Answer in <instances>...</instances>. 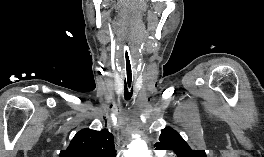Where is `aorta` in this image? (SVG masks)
<instances>
[{
  "label": "aorta",
  "instance_id": "1",
  "mask_svg": "<svg viewBox=\"0 0 264 157\" xmlns=\"http://www.w3.org/2000/svg\"><path fill=\"white\" fill-rule=\"evenodd\" d=\"M125 155V157H151L146 143L141 139L134 140Z\"/></svg>",
  "mask_w": 264,
  "mask_h": 157
}]
</instances>
